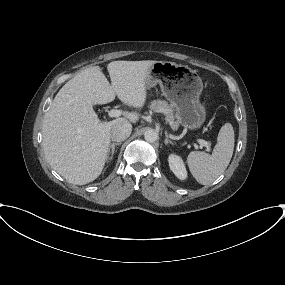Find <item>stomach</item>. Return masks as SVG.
<instances>
[{"mask_svg":"<svg viewBox=\"0 0 285 285\" xmlns=\"http://www.w3.org/2000/svg\"><path fill=\"white\" fill-rule=\"evenodd\" d=\"M159 84L162 95L175 108L177 123L196 130L206 120V108L200 103L201 78L187 66L169 61H155L149 70L146 87Z\"/></svg>","mask_w":285,"mask_h":285,"instance_id":"0dacf381","label":"stomach"}]
</instances>
